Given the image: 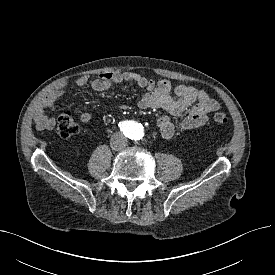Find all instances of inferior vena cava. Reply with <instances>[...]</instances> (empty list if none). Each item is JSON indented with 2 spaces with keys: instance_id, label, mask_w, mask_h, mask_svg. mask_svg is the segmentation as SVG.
Returning a JSON list of instances; mask_svg holds the SVG:
<instances>
[{
  "instance_id": "602c4592",
  "label": "inferior vena cava",
  "mask_w": 275,
  "mask_h": 275,
  "mask_svg": "<svg viewBox=\"0 0 275 275\" xmlns=\"http://www.w3.org/2000/svg\"><path fill=\"white\" fill-rule=\"evenodd\" d=\"M127 146V138L120 132L115 133L111 139L113 150H121Z\"/></svg>"
}]
</instances>
